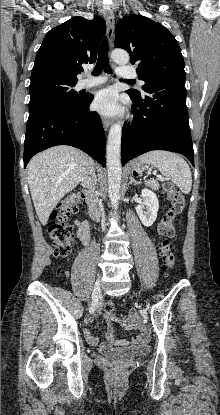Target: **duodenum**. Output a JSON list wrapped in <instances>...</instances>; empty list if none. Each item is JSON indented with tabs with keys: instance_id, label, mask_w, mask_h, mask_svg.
<instances>
[{
	"instance_id": "obj_1",
	"label": "duodenum",
	"mask_w": 220,
	"mask_h": 415,
	"mask_svg": "<svg viewBox=\"0 0 220 415\" xmlns=\"http://www.w3.org/2000/svg\"><path fill=\"white\" fill-rule=\"evenodd\" d=\"M85 196H86V203H87V208H88V213L89 216L96 220L99 218L100 216V211H99V207L93 197V193L91 192L90 189H85L84 190Z\"/></svg>"
}]
</instances>
